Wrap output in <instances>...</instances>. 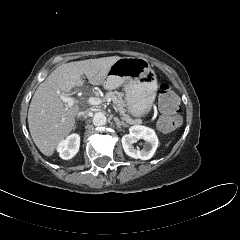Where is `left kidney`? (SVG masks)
<instances>
[{"instance_id": "left-kidney-1", "label": "left kidney", "mask_w": 240, "mask_h": 240, "mask_svg": "<svg viewBox=\"0 0 240 240\" xmlns=\"http://www.w3.org/2000/svg\"><path fill=\"white\" fill-rule=\"evenodd\" d=\"M140 139L145 141L141 150L133 146ZM121 141L124 152L128 156L141 160L150 159L154 155L159 143L155 131L141 125L131 126L129 134L124 135Z\"/></svg>"}]
</instances>
